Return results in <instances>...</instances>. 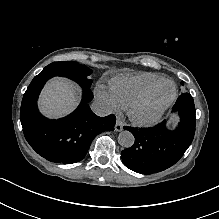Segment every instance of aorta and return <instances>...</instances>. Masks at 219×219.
<instances>
[{
    "instance_id": "1",
    "label": "aorta",
    "mask_w": 219,
    "mask_h": 219,
    "mask_svg": "<svg viewBox=\"0 0 219 219\" xmlns=\"http://www.w3.org/2000/svg\"><path fill=\"white\" fill-rule=\"evenodd\" d=\"M135 138L130 131L124 130L118 135V143L124 148H130L134 144Z\"/></svg>"
}]
</instances>
